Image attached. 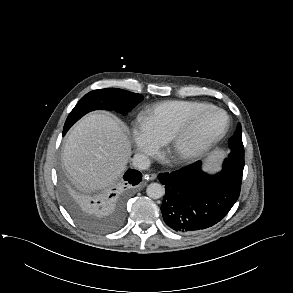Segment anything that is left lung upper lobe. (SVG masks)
I'll list each match as a JSON object with an SVG mask.
<instances>
[{"instance_id": "obj_1", "label": "left lung upper lobe", "mask_w": 293, "mask_h": 293, "mask_svg": "<svg viewBox=\"0 0 293 293\" xmlns=\"http://www.w3.org/2000/svg\"><path fill=\"white\" fill-rule=\"evenodd\" d=\"M231 153L228 160L233 161L237 166L244 168V146L242 143V127L239 124L234 136L229 141Z\"/></svg>"}]
</instances>
